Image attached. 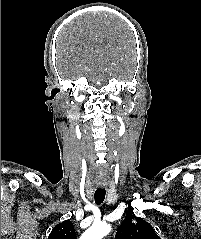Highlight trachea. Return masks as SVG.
<instances>
[{
  "mask_svg": "<svg viewBox=\"0 0 201 239\" xmlns=\"http://www.w3.org/2000/svg\"><path fill=\"white\" fill-rule=\"evenodd\" d=\"M105 194H106V191L104 188H97L95 191V194H94L95 203L96 204L103 203V201L105 199Z\"/></svg>",
  "mask_w": 201,
  "mask_h": 239,
  "instance_id": "1",
  "label": "trachea"
}]
</instances>
